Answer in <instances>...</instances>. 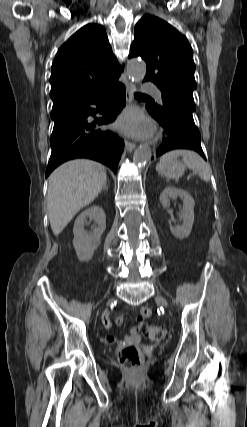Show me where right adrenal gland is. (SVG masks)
<instances>
[{
	"mask_svg": "<svg viewBox=\"0 0 247 427\" xmlns=\"http://www.w3.org/2000/svg\"><path fill=\"white\" fill-rule=\"evenodd\" d=\"M102 190L108 191V185L105 183Z\"/></svg>",
	"mask_w": 247,
	"mask_h": 427,
	"instance_id": "2a0ac1e0",
	"label": "right adrenal gland"
}]
</instances>
